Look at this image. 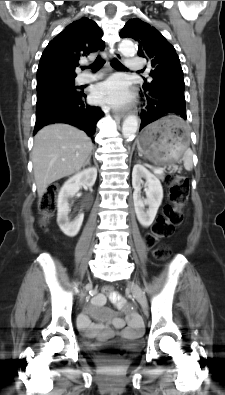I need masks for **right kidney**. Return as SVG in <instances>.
Segmentation results:
<instances>
[{"mask_svg": "<svg viewBox=\"0 0 225 395\" xmlns=\"http://www.w3.org/2000/svg\"><path fill=\"white\" fill-rule=\"evenodd\" d=\"M96 178L97 169L91 167L75 174L62 186L58 195L57 224L65 235L69 237L76 236L84 218V214L80 213L73 221L70 220L68 216L71 211L68 202L69 199L73 197L82 186L92 187L95 184Z\"/></svg>", "mask_w": 225, "mask_h": 395, "instance_id": "obj_1", "label": "right kidney"}]
</instances>
